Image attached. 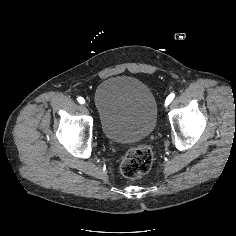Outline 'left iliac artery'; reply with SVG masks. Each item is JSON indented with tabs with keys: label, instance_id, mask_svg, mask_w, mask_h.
Here are the masks:
<instances>
[{
	"label": "left iliac artery",
	"instance_id": "1",
	"mask_svg": "<svg viewBox=\"0 0 236 236\" xmlns=\"http://www.w3.org/2000/svg\"><path fill=\"white\" fill-rule=\"evenodd\" d=\"M174 97H175V94H174V93H171V94L168 95V97L166 98L165 103L168 101V102H169L168 104H170L171 101L174 99ZM166 104H167V103H166Z\"/></svg>",
	"mask_w": 236,
	"mask_h": 236
}]
</instances>
